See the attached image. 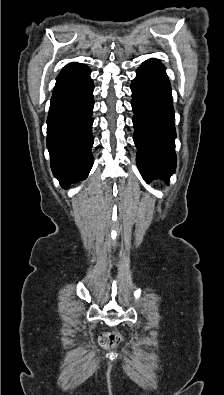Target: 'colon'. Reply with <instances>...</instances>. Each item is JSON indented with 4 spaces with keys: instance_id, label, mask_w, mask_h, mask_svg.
Returning a JSON list of instances; mask_svg holds the SVG:
<instances>
[{
    "instance_id": "colon-1",
    "label": "colon",
    "mask_w": 224,
    "mask_h": 395,
    "mask_svg": "<svg viewBox=\"0 0 224 395\" xmlns=\"http://www.w3.org/2000/svg\"><path fill=\"white\" fill-rule=\"evenodd\" d=\"M121 340V336L118 333H106L101 337V341L104 346L112 347L117 345Z\"/></svg>"
}]
</instances>
